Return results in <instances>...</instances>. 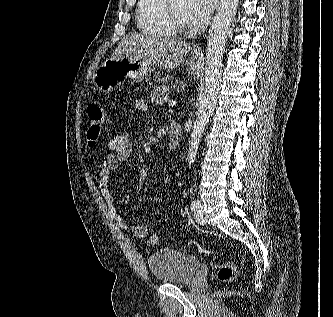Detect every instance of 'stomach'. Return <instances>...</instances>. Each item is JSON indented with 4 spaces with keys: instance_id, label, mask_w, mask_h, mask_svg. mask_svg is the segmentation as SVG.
<instances>
[{
    "instance_id": "0dacf381",
    "label": "stomach",
    "mask_w": 333,
    "mask_h": 317,
    "mask_svg": "<svg viewBox=\"0 0 333 317\" xmlns=\"http://www.w3.org/2000/svg\"><path fill=\"white\" fill-rule=\"evenodd\" d=\"M198 61L192 60L189 69L195 70ZM152 71V64L147 60L131 56L129 58H111L105 61L94 75V85L104 93L117 89L123 78L141 80Z\"/></svg>"
}]
</instances>
